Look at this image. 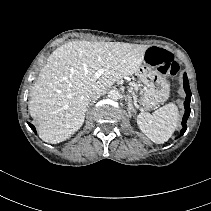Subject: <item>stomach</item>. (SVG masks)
<instances>
[{"label": "stomach", "mask_w": 211, "mask_h": 211, "mask_svg": "<svg viewBox=\"0 0 211 211\" xmlns=\"http://www.w3.org/2000/svg\"><path fill=\"white\" fill-rule=\"evenodd\" d=\"M136 75L144 84L141 92V105L143 107L153 108L168 99L170 85L163 74L144 64L139 67Z\"/></svg>", "instance_id": "obj_1"}]
</instances>
